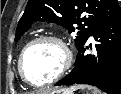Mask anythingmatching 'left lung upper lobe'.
I'll use <instances>...</instances> for the list:
<instances>
[{
	"label": "left lung upper lobe",
	"mask_w": 121,
	"mask_h": 94,
	"mask_svg": "<svg viewBox=\"0 0 121 94\" xmlns=\"http://www.w3.org/2000/svg\"><path fill=\"white\" fill-rule=\"evenodd\" d=\"M121 12L118 0H29L19 20L17 41L36 21L54 22L69 33L77 32L75 44L83 47L92 33Z\"/></svg>",
	"instance_id": "left-lung-upper-lobe-1"
}]
</instances>
